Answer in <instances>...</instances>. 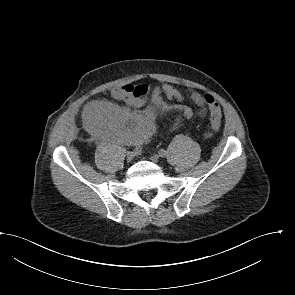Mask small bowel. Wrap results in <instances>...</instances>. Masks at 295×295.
<instances>
[{"mask_svg": "<svg viewBox=\"0 0 295 295\" xmlns=\"http://www.w3.org/2000/svg\"><path fill=\"white\" fill-rule=\"evenodd\" d=\"M111 94L135 110L121 109L107 101H93L84 108L83 120L100 136L119 143H142L154 133V109L147 105L148 100L163 110L178 111L183 118H190L193 115V110L188 106L168 105L164 101L163 96L177 101L184 99L181 92L171 84L165 83L153 88L146 84H125L114 87ZM189 95L198 107L199 115L206 116L207 108L204 95L193 89L189 90ZM139 109L143 110L138 111ZM220 126L221 121L211 122L213 131H218Z\"/></svg>", "mask_w": 295, "mask_h": 295, "instance_id": "1", "label": "small bowel"}]
</instances>
